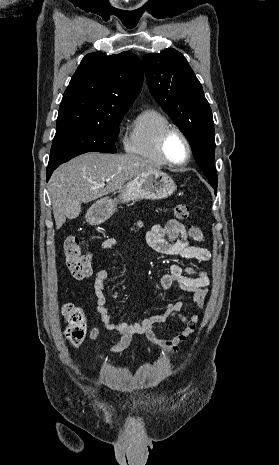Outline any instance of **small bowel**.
<instances>
[{"mask_svg":"<svg viewBox=\"0 0 279 465\" xmlns=\"http://www.w3.org/2000/svg\"><path fill=\"white\" fill-rule=\"evenodd\" d=\"M146 242L156 252L164 255H176L184 259H192L206 262L211 259V252L208 249L191 244L185 226L179 221L172 219L165 225H154L146 234ZM117 242L114 238H107L101 244L103 250L112 251ZM108 272L99 270L94 277L93 287L96 295V310L100 314L103 326L118 335L112 354L122 355L127 353L128 347L134 334H142L148 340L157 344L162 352L176 353L181 345L195 332L197 325L201 322L198 315H183L181 313L183 302L181 300L167 305L163 313L143 319L142 321L115 322L106 304V281ZM210 278L206 271L195 268H183L178 264L170 265L168 272L161 278V286L168 290L172 285L192 293L193 303L203 308L208 293ZM112 298H119L118 292L111 293ZM178 317L182 322V327L177 334L170 339L159 338L155 334V329L167 323L170 319ZM99 336V327H94L89 334V339L94 341ZM101 359L104 355L99 356Z\"/></svg>","mask_w":279,"mask_h":465,"instance_id":"small-bowel-1","label":"small bowel"}]
</instances>
